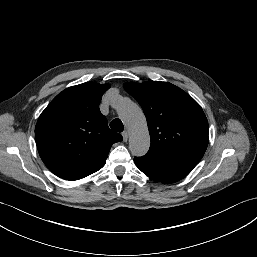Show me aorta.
Masks as SVG:
<instances>
[{
  "instance_id": "762f6f07",
  "label": "aorta",
  "mask_w": 257,
  "mask_h": 257,
  "mask_svg": "<svg viewBox=\"0 0 257 257\" xmlns=\"http://www.w3.org/2000/svg\"><path fill=\"white\" fill-rule=\"evenodd\" d=\"M117 111L130 131L129 149L134 156H143L150 147V136L141 108L126 98L116 103Z\"/></svg>"
}]
</instances>
